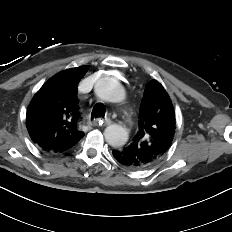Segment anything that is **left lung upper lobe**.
<instances>
[{
	"label": "left lung upper lobe",
	"instance_id": "5c2ea615",
	"mask_svg": "<svg viewBox=\"0 0 232 232\" xmlns=\"http://www.w3.org/2000/svg\"><path fill=\"white\" fill-rule=\"evenodd\" d=\"M138 125L139 131L125 148L139 162V169H145L167 153L176 128L169 95L156 80H151L145 87Z\"/></svg>",
	"mask_w": 232,
	"mask_h": 232
}]
</instances>
